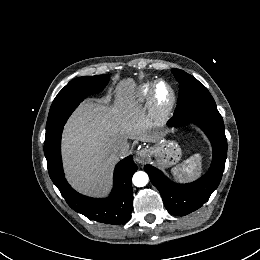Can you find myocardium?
Instances as JSON below:
<instances>
[{
  "label": "myocardium",
  "instance_id": "f54148a6",
  "mask_svg": "<svg viewBox=\"0 0 260 260\" xmlns=\"http://www.w3.org/2000/svg\"><path fill=\"white\" fill-rule=\"evenodd\" d=\"M163 84L170 92V101L162 106L157 99V91L159 85ZM177 102L176 92L169 82L159 79L154 82L149 95V114L156 122H164L168 120L174 111Z\"/></svg>",
  "mask_w": 260,
  "mask_h": 260
}]
</instances>
